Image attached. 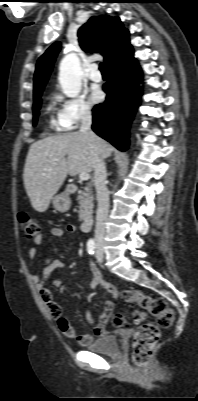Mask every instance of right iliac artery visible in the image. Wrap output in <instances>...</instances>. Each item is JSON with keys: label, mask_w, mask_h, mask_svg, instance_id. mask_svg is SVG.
<instances>
[{"label": "right iliac artery", "mask_w": 198, "mask_h": 401, "mask_svg": "<svg viewBox=\"0 0 198 401\" xmlns=\"http://www.w3.org/2000/svg\"><path fill=\"white\" fill-rule=\"evenodd\" d=\"M95 248H96L95 241L93 239H90L87 242V251H88V253L89 254H94Z\"/></svg>", "instance_id": "right-iliac-artery-1"}]
</instances>
